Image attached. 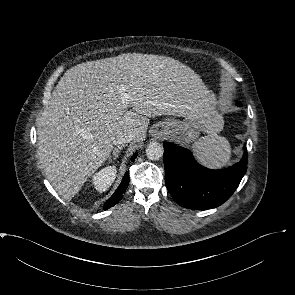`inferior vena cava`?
<instances>
[{
  "instance_id": "inferior-vena-cava-1",
  "label": "inferior vena cava",
  "mask_w": 295,
  "mask_h": 295,
  "mask_svg": "<svg viewBox=\"0 0 295 295\" xmlns=\"http://www.w3.org/2000/svg\"><path fill=\"white\" fill-rule=\"evenodd\" d=\"M135 139H136V134L129 131L117 136L114 140V144L117 145L118 147L124 146Z\"/></svg>"
}]
</instances>
